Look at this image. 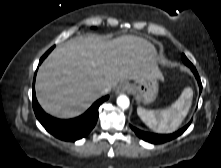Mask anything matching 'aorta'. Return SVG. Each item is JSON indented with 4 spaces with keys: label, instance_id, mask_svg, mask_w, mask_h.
Masks as SVG:
<instances>
[{
    "label": "aorta",
    "instance_id": "obj_1",
    "mask_svg": "<svg viewBox=\"0 0 221 168\" xmlns=\"http://www.w3.org/2000/svg\"><path fill=\"white\" fill-rule=\"evenodd\" d=\"M117 105L122 109H127L130 105L129 98L126 95H120L117 98Z\"/></svg>",
    "mask_w": 221,
    "mask_h": 168
}]
</instances>
